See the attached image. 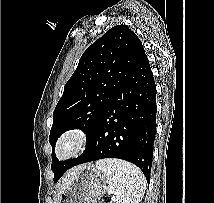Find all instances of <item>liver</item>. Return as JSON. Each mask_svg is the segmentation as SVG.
Listing matches in <instances>:
<instances>
[{
  "label": "liver",
  "mask_w": 214,
  "mask_h": 203,
  "mask_svg": "<svg viewBox=\"0 0 214 203\" xmlns=\"http://www.w3.org/2000/svg\"><path fill=\"white\" fill-rule=\"evenodd\" d=\"M81 166L75 167L71 170H69L60 180V183L58 184V196L62 189H64L66 186H68L74 179L75 175L79 171Z\"/></svg>",
  "instance_id": "6515ba94"
}]
</instances>
